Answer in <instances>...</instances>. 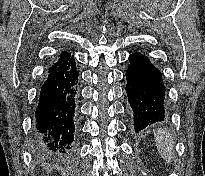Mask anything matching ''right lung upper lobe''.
Segmentation results:
<instances>
[{"instance_id": "obj_1", "label": "right lung upper lobe", "mask_w": 205, "mask_h": 176, "mask_svg": "<svg viewBox=\"0 0 205 176\" xmlns=\"http://www.w3.org/2000/svg\"><path fill=\"white\" fill-rule=\"evenodd\" d=\"M71 54L67 51H62L59 56L56 58V61L48 68L47 71L56 68L57 66L64 65L71 59Z\"/></svg>"}]
</instances>
